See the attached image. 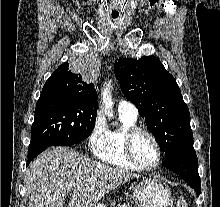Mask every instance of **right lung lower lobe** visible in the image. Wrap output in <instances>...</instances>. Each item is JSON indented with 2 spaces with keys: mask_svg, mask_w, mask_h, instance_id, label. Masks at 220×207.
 <instances>
[{
  "mask_svg": "<svg viewBox=\"0 0 220 207\" xmlns=\"http://www.w3.org/2000/svg\"><path fill=\"white\" fill-rule=\"evenodd\" d=\"M39 153H41V152L29 151L27 165H28V164L31 162V160H33Z\"/></svg>",
  "mask_w": 220,
  "mask_h": 207,
  "instance_id": "98d812e1",
  "label": "right lung lower lobe"
}]
</instances>
